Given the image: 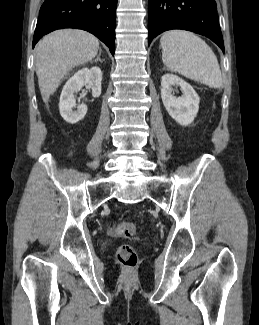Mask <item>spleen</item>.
<instances>
[{
  "label": "spleen",
  "mask_w": 259,
  "mask_h": 325,
  "mask_svg": "<svg viewBox=\"0 0 259 325\" xmlns=\"http://www.w3.org/2000/svg\"><path fill=\"white\" fill-rule=\"evenodd\" d=\"M160 43L168 69L211 88L222 86L218 60L203 39L189 31L171 30L161 37Z\"/></svg>",
  "instance_id": "obj_1"
}]
</instances>
